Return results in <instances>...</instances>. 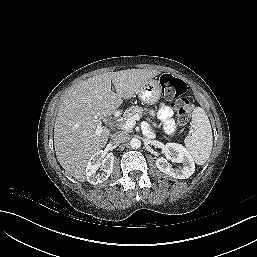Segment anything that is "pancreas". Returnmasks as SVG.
Segmentation results:
<instances>
[{
    "label": "pancreas",
    "instance_id": "obj_1",
    "mask_svg": "<svg viewBox=\"0 0 257 257\" xmlns=\"http://www.w3.org/2000/svg\"><path fill=\"white\" fill-rule=\"evenodd\" d=\"M146 110H144L142 107L139 106H131L129 107L127 110H125L124 112V117L126 119L131 118L134 115H139V116H143L144 112ZM152 126L157 127V124L155 122H152ZM131 129L126 130L127 132H130Z\"/></svg>",
    "mask_w": 257,
    "mask_h": 257
}]
</instances>
